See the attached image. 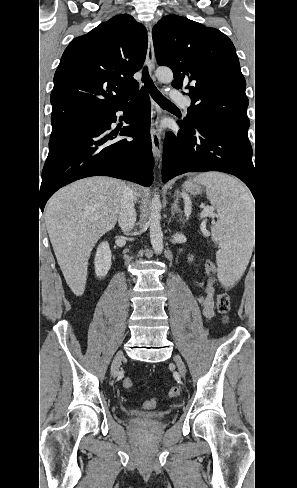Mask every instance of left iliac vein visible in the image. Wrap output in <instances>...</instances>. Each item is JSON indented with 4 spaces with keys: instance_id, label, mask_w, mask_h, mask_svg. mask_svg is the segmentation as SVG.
<instances>
[{
    "instance_id": "4c4485c4",
    "label": "left iliac vein",
    "mask_w": 297,
    "mask_h": 488,
    "mask_svg": "<svg viewBox=\"0 0 297 488\" xmlns=\"http://www.w3.org/2000/svg\"><path fill=\"white\" fill-rule=\"evenodd\" d=\"M174 361H175V363H176V365L178 367V370H179L180 374L182 376H184L186 374V368H185V365H184L182 359L179 356H175L174 357Z\"/></svg>"
}]
</instances>
